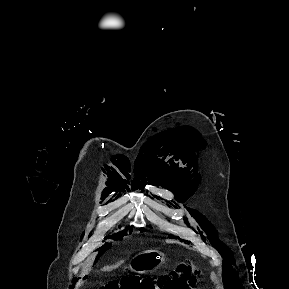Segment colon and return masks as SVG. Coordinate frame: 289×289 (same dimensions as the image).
<instances>
[{
  "mask_svg": "<svg viewBox=\"0 0 289 289\" xmlns=\"http://www.w3.org/2000/svg\"><path fill=\"white\" fill-rule=\"evenodd\" d=\"M199 276L200 271L180 264L175 271L162 276L158 282L148 278L126 277L109 282L100 289H193Z\"/></svg>",
  "mask_w": 289,
  "mask_h": 289,
  "instance_id": "colon-1",
  "label": "colon"
}]
</instances>
